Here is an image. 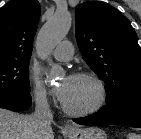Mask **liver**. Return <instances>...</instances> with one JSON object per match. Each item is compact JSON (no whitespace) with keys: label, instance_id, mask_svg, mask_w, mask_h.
<instances>
[{"label":"liver","instance_id":"obj_1","mask_svg":"<svg viewBox=\"0 0 141 139\" xmlns=\"http://www.w3.org/2000/svg\"><path fill=\"white\" fill-rule=\"evenodd\" d=\"M33 115H21L0 108V139H36ZM44 139H54L52 129Z\"/></svg>","mask_w":141,"mask_h":139}]
</instances>
